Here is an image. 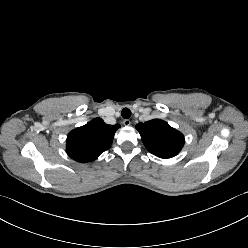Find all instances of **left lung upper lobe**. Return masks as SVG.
<instances>
[{"label":"left lung upper lobe","mask_w":248,"mask_h":248,"mask_svg":"<svg viewBox=\"0 0 248 248\" xmlns=\"http://www.w3.org/2000/svg\"><path fill=\"white\" fill-rule=\"evenodd\" d=\"M139 131L146 149L164 159L174 157L184 145V136L172 128L167 122L153 119L145 123H138Z\"/></svg>","instance_id":"5c2ea615"}]
</instances>
